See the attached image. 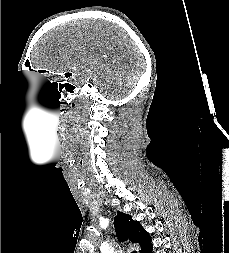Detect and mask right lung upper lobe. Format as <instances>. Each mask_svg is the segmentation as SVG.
Returning <instances> with one entry per match:
<instances>
[{
	"mask_svg": "<svg viewBox=\"0 0 229 253\" xmlns=\"http://www.w3.org/2000/svg\"><path fill=\"white\" fill-rule=\"evenodd\" d=\"M117 216L114 218V226L117 236L121 241L127 239L133 243H138L141 246L142 253L150 244L151 239L138 221L132 220L131 215L117 211Z\"/></svg>",
	"mask_w": 229,
	"mask_h": 253,
	"instance_id": "obj_1",
	"label": "right lung upper lobe"
}]
</instances>
